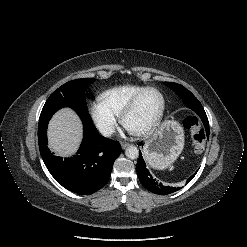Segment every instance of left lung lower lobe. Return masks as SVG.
Wrapping results in <instances>:
<instances>
[{
    "label": "left lung lower lobe",
    "mask_w": 247,
    "mask_h": 247,
    "mask_svg": "<svg viewBox=\"0 0 247 247\" xmlns=\"http://www.w3.org/2000/svg\"><path fill=\"white\" fill-rule=\"evenodd\" d=\"M204 124V129H202V136L209 138V122L205 117L202 119ZM137 174L142 185L149 191L159 195H166L173 192H176L181 189V187H169L160 183L149 170L146 168V164L142 158V154H139V159L136 165ZM193 178L188 179V182Z\"/></svg>",
    "instance_id": "1"
}]
</instances>
